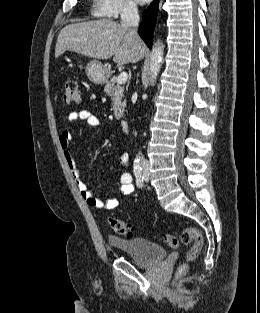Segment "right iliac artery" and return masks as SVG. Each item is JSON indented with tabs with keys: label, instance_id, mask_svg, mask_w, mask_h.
<instances>
[{
	"label": "right iliac artery",
	"instance_id": "1",
	"mask_svg": "<svg viewBox=\"0 0 260 313\" xmlns=\"http://www.w3.org/2000/svg\"><path fill=\"white\" fill-rule=\"evenodd\" d=\"M133 172L136 177L137 186L143 187L144 176L142 172V167L140 165H134Z\"/></svg>",
	"mask_w": 260,
	"mask_h": 313
}]
</instances>
